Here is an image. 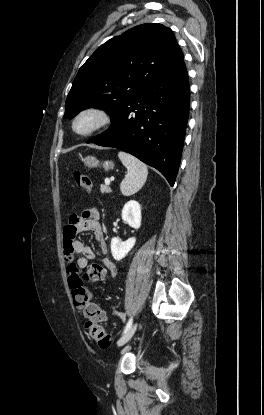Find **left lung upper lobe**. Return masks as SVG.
<instances>
[{
  "label": "left lung upper lobe",
  "mask_w": 264,
  "mask_h": 415,
  "mask_svg": "<svg viewBox=\"0 0 264 415\" xmlns=\"http://www.w3.org/2000/svg\"><path fill=\"white\" fill-rule=\"evenodd\" d=\"M183 58L172 30L161 24H142L113 37L79 69L66 99L64 118L96 107L113 119L128 101Z\"/></svg>",
  "instance_id": "obj_1"
}]
</instances>
